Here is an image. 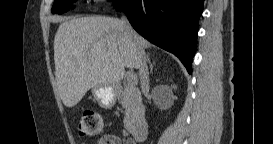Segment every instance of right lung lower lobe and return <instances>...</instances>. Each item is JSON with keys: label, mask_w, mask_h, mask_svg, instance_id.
Masks as SVG:
<instances>
[{"label": "right lung lower lobe", "mask_w": 273, "mask_h": 144, "mask_svg": "<svg viewBox=\"0 0 273 144\" xmlns=\"http://www.w3.org/2000/svg\"><path fill=\"white\" fill-rule=\"evenodd\" d=\"M204 0H115L133 28L153 44L175 54L192 70L198 20Z\"/></svg>", "instance_id": "obj_1"}]
</instances>
